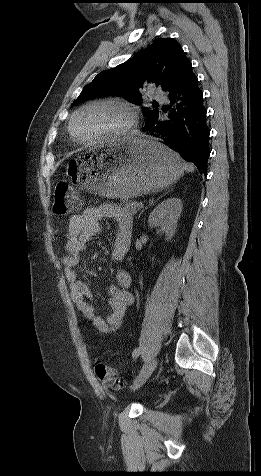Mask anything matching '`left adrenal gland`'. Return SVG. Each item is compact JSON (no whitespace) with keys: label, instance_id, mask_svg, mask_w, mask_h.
Wrapping results in <instances>:
<instances>
[{"label":"left adrenal gland","instance_id":"a2214340","mask_svg":"<svg viewBox=\"0 0 261 476\" xmlns=\"http://www.w3.org/2000/svg\"><path fill=\"white\" fill-rule=\"evenodd\" d=\"M145 209H146V208H145ZM145 209H143V210L141 211L140 215L144 212Z\"/></svg>","mask_w":261,"mask_h":476}]
</instances>
